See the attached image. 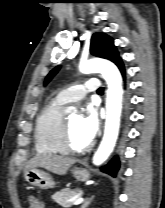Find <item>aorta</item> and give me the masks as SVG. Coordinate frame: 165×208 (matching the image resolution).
<instances>
[{
	"instance_id": "1",
	"label": "aorta",
	"mask_w": 165,
	"mask_h": 208,
	"mask_svg": "<svg viewBox=\"0 0 165 208\" xmlns=\"http://www.w3.org/2000/svg\"><path fill=\"white\" fill-rule=\"evenodd\" d=\"M79 70L84 74L101 73L108 84L104 136L93 156V164L100 165L109 157L118 138L122 109V78L118 68L105 59H90L81 62Z\"/></svg>"
}]
</instances>
